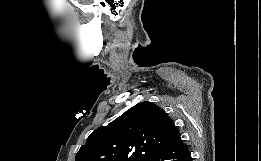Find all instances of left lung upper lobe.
Segmentation results:
<instances>
[{
  "mask_svg": "<svg viewBox=\"0 0 261 161\" xmlns=\"http://www.w3.org/2000/svg\"><path fill=\"white\" fill-rule=\"evenodd\" d=\"M175 131L161 107L141 102L107 126L97 128L81 146L75 161H147Z\"/></svg>",
  "mask_w": 261,
  "mask_h": 161,
  "instance_id": "left-lung-upper-lobe-1",
  "label": "left lung upper lobe"
}]
</instances>
